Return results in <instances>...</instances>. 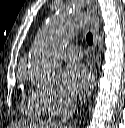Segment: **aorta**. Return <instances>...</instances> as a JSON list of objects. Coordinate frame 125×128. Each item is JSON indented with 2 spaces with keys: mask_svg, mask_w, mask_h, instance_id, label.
Segmentation results:
<instances>
[{
  "mask_svg": "<svg viewBox=\"0 0 125 128\" xmlns=\"http://www.w3.org/2000/svg\"><path fill=\"white\" fill-rule=\"evenodd\" d=\"M85 18L78 11L67 16H56L39 30L30 59L31 74L36 82L43 86H52L57 82L56 53L85 24Z\"/></svg>",
  "mask_w": 125,
  "mask_h": 128,
  "instance_id": "1",
  "label": "aorta"
}]
</instances>
